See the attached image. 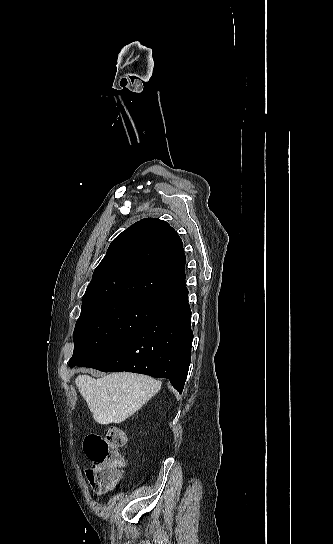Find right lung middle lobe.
<instances>
[{
	"label": "right lung middle lobe",
	"instance_id": "right-lung-middle-lobe-1",
	"mask_svg": "<svg viewBox=\"0 0 333 544\" xmlns=\"http://www.w3.org/2000/svg\"><path fill=\"white\" fill-rule=\"evenodd\" d=\"M168 304L165 300L142 295L82 302L73 334L75 347L70 367L131 337Z\"/></svg>",
	"mask_w": 333,
	"mask_h": 544
}]
</instances>
